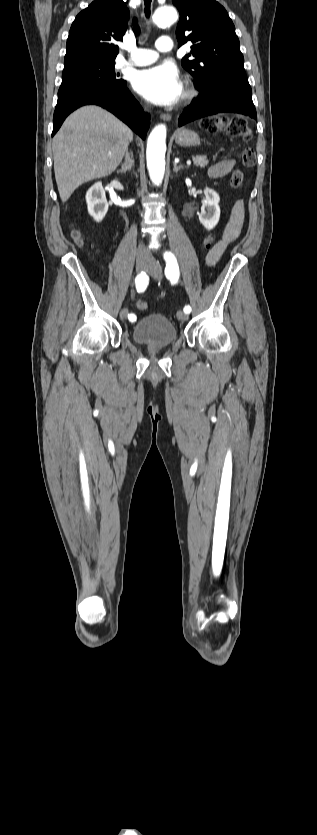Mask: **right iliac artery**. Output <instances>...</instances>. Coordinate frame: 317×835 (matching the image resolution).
Listing matches in <instances>:
<instances>
[{"label": "right iliac artery", "instance_id": "82829eb1", "mask_svg": "<svg viewBox=\"0 0 317 835\" xmlns=\"http://www.w3.org/2000/svg\"><path fill=\"white\" fill-rule=\"evenodd\" d=\"M135 285H136V289H137L138 292H144L145 291V289L147 288V285H148V276L146 275L145 272L142 271L140 274L137 275V277L135 278ZM128 319L129 320H134L135 315L134 314H128Z\"/></svg>", "mask_w": 317, "mask_h": 835}]
</instances>
